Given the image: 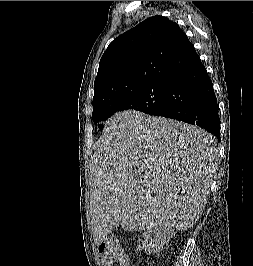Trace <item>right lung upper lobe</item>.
I'll return each instance as SVG.
<instances>
[{
	"label": "right lung upper lobe",
	"instance_id": "obj_1",
	"mask_svg": "<svg viewBox=\"0 0 253 266\" xmlns=\"http://www.w3.org/2000/svg\"><path fill=\"white\" fill-rule=\"evenodd\" d=\"M198 58L178 24L150 17L107 47L94 82L93 105L152 82H168Z\"/></svg>",
	"mask_w": 253,
	"mask_h": 266
}]
</instances>
